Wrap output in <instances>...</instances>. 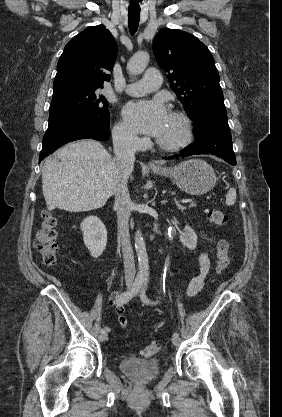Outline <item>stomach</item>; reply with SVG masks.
Instances as JSON below:
<instances>
[{
    "instance_id": "obj_1",
    "label": "stomach",
    "mask_w": 282,
    "mask_h": 417,
    "mask_svg": "<svg viewBox=\"0 0 282 417\" xmlns=\"http://www.w3.org/2000/svg\"><path fill=\"white\" fill-rule=\"evenodd\" d=\"M157 174L169 176L179 188L188 194H205L216 184V174L205 160L201 158H191L183 160L175 166H155L153 168Z\"/></svg>"
}]
</instances>
